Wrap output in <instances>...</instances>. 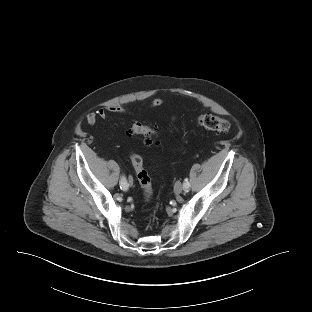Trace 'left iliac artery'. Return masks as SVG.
I'll use <instances>...</instances> for the list:
<instances>
[{
	"label": "left iliac artery",
	"mask_w": 312,
	"mask_h": 312,
	"mask_svg": "<svg viewBox=\"0 0 312 312\" xmlns=\"http://www.w3.org/2000/svg\"><path fill=\"white\" fill-rule=\"evenodd\" d=\"M183 186H184L185 191H187L189 189L190 183H189L187 178L184 180Z\"/></svg>",
	"instance_id": "44dca946"
}]
</instances>
